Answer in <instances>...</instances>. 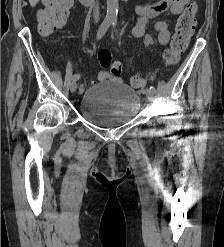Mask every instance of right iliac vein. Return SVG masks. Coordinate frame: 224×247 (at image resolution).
Masks as SVG:
<instances>
[{"instance_id": "1", "label": "right iliac vein", "mask_w": 224, "mask_h": 247, "mask_svg": "<svg viewBox=\"0 0 224 247\" xmlns=\"http://www.w3.org/2000/svg\"><path fill=\"white\" fill-rule=\"evenodd\" d=\"M77 88V83L76 81H72L71 85H70V91L73 93L76 91Z\"/></svg>"}]
</instances>
